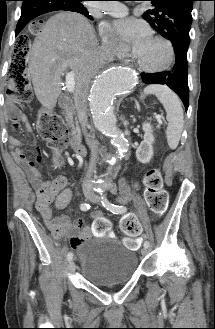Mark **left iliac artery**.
Here are the masks:
<instances>
[{
    "label": "left iliac artery",
    "instance_id": "1",
    "mask_svg": "<svg viewBox=\"0 0 215 329\" xmlns=\"http://www.w3.org/2000/svg\"><path fill=\"white\" fill-rule=\"evenodd\" d=\"M101 202H102V205L110 212H112L113 214H123L126 212V208L124 206H120V205H116V204H113L111 202H109L107 200V198L101 194ZM144 246L145 247H149L150 246V243L149 241H145L144 242Z\"/></svg>",
    "mask_w": 215,
    "mask_h": 329
}]
</instances>
